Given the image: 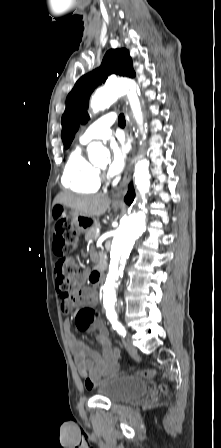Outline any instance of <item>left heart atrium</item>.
Returning <instances> with one entry per match:
<instances>
[{
    "mask_svg": "<svg viewBox=\"0 0 221 448\" xmlns=\"http://www.w3.org/2000/svg\"><path fill=\"white\" fill-rule=\"evenodd\" d=\"M112 158L108 166V174L111 177L119 175L126 162V151L118 144H112L111 146Z\"/></svg>",
    "mask_w": 221,
    "mask_h": 448,
    "instance_id": "left-heart-atrium-1",
    "label": "left heart atrium"
}]
</instances>
